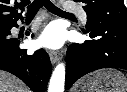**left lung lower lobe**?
I'll return each instance as SVG.
<instances>
[{
    "label": "left lung lower lobe",
    "instance_id": "obj_1",
    "mask_svg": "<svg viewBox=\"0 0 127 92\" xmlns=\"http://www.w3.org/2000/svg\"><path fill=\"white\" fill-rule=\"evenodd\" d=\"M93 40L69 46L66 56L65 87L70 89L80 77L103 68L127 70V24L94 22L87 24Z\"/></svg>",
    "mask_w": 127,
    "mask_h": 92
}]
</instances>
